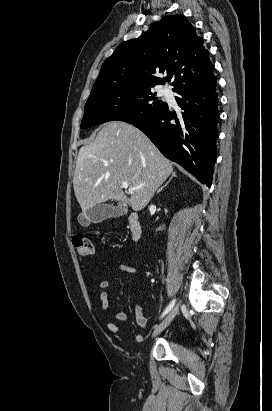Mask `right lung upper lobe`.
I'll return each instance as SVG.
<instances>
[{"instance_id": "obj_1", "label": "right lung upper lobe", "mask_w": 272, "mask_h": 411, "mask_svg": "<svg viewBox=\"0 0 272 411\" xmlns=\"http://www.w3.org/2000/svg\"><path fill=\"white\" fill-rule=\"evenodd\" d=\"M145 63L150 73L145 71ZM213 69L203 39L186 17L168 16L142 36L118 47L104 62L92 91L115 86L151 87L174 77L175 92L207 82L213 78ZM156 71L167 77H155L152 74Z\"/></svg>"}]
</instances>
